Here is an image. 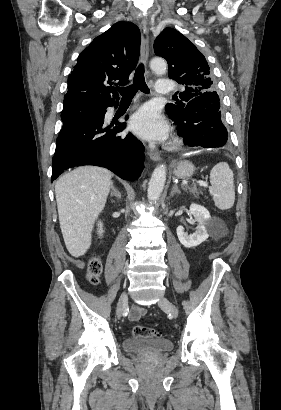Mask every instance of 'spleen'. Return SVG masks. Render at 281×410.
<instances>
[{
  "instance_id": "3e777b00",
  "label": "spleen",
  "mask_w": 281,
  "mask_h": 410,
  "mask_svg": "<svg viewBox=\"0 0 281 410\" xmlns=\"http://www.w3.org/2000/svg\"><path fill=\"white\" fill-rule=\"evenodd\" d=\"M211 195L215 206L230 209L235 201L233 172L226 162L216 164L210 172Z\"/></svg>"
}]
</instances>
